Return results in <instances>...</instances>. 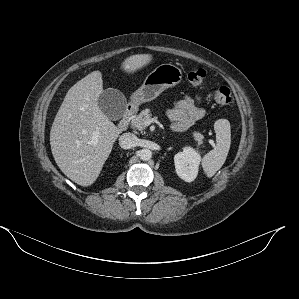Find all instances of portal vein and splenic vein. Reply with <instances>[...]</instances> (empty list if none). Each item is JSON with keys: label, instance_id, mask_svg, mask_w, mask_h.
Segmentation results:
<instances>
[{"label": "portal vein and splenic vein", "instance_id": "18ae733b", "mask_svg": "<svg viewBox=\"0 0 299 299\" xmlns=\"http://www.w3.org/2000/svg\"><path fill=\"white\" fill-rule=\"evenodd\" d=\"M150 123H151V120H150V119L145 121V125H146V126H147V125H150ZM94 139L96 140V137H95ZM213 146H214V144H213Z\"/></svg>", "mask_w": 299, "mask_h": 299}]
</instances>
